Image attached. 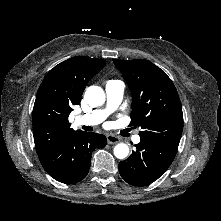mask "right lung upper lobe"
I'll return each instance as SVG.
<instances>
[{
  "label": "right lung upper lobe",
  "mask_w": 221,
  "mask_h": 221,
  "mask_svg": "<svg viewBox=\"0 0 221 221\" xmlns=\"http://www.w3.org/2000/svg\"><path fill=\"white\" fill-rule=\"evenodd\" d=\"M102 59L77 56L51 69L42 81L33 107V133L38 156L80 130L70 128L68 116L81 101L88 81L105 65Z\"/></svg>",
  "instance_id": "cb5924a9"
}]
</instances>
